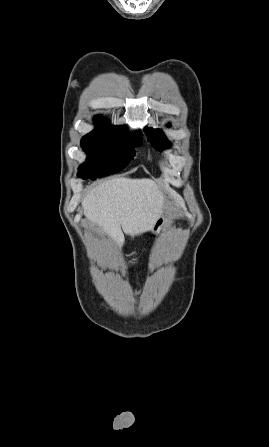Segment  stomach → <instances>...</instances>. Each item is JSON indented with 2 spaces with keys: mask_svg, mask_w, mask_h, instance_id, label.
Segmentation results:
<instances>
[{
  "mask_svg": "<svg viewBox=\"0 0 269 447\" xmlns=\"http://www.w3.org/2000/svg\"><path fill=\"white\" fill-rule=\"evenodd\" d=\"M166 224H167V220H166L165 216H160V218H158V220H156L153 227H151L152 233H160L161 229H163L164 225H166Z\"/></svg>",
  "mask_w": 269,
  "mask_h": 447,
  "instance_id": "0dacf381",
  "label": "stomach"
}]
</instances>
